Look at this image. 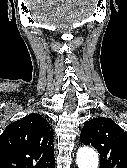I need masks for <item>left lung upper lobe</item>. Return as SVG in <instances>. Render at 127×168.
Instances as JSON below:
<instances>
[{
  "instance_id": "5c2ea615",
  "label": "left lung upper lobe",
  "mask_w": 127,
  "mask_h": 168,
  "mask_svg": "<svg viewBox=\"0 0 127 168\" xmlns=\"http://www.w3.org/2000/svg\"><path fill=\"white\" fill-rule=\"evenodd\" d=\"M80 140L97 149L100 168H127V133L112 119L89 120L81 130Z\"/></svg>"
}]
</instances>
